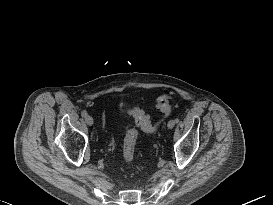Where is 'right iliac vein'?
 <instances>
[{"label": "right iliac vein", "instance_id": "63e3f726", "mask_svg": "<svg viewBox=\"0 0 273 205\" xmlns=\"http://www.w3.org/2000/svg\"><path fill=\"white\" fill-rule=\"evenodd\" d=\"M85 122H86V124H87L88 126H92L93 123H94V120H93L92 116L87 115V116L85 117Z\"/></svg>", "mask_w": 273, "mask_h": 205}]
</instances>
